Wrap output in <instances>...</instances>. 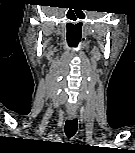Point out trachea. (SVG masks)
Here are the masks:
<instances>
[{
  "mask_svg": "<svg viewBox=\"0 0 135 153\" xmlns=\"http://www.w3.org/2000/svg\"><path fill=\"white\" fill-rule=\"evenodd\" d=\"M78 127L77 119L67 120L65 123V134L68 138H71L75 135Z\"/></svg>",
  "mask_w": 135,
  "mask_h": 153,
  "instance_id": "3493384b",
  "label": "trachea"
}]
</instances>
